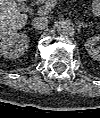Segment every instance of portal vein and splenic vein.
<instances>
[{"instance_id":"obj_1","label":"portal vein and splenic vein","mask_w":100,"mask_h":118,"mask_svg":"<svg viewBox=\"0 0 100 118\" xmlns=\"http://www.w3.org/2000/svg\"><path fill=\"white\" fill-rule=\"evenodd\" d=\"M56 4L57 0H47L45 4L39 8L38 12L41 14H47L55 7Z\"/></svg>"}]
</instances>
